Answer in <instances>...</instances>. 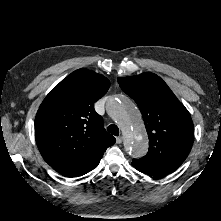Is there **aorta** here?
<instances>
[{"mask_svg":"<svg viewBox=\"0 0 221 221\" xmlns=\"http://www.w3.org/2000/svg\"><path fill=\"white\" fill-rule=\"evenodd\" d=\"M108 114L118 123L124 137V149L134 158L148 151V139L138 108L126 97H115L108 101Z\"/></svg>","mask_w":221,"mask_h":221,"instance_id":"762f6f07","label":"aorta"}]
</instances>
